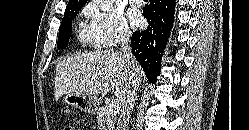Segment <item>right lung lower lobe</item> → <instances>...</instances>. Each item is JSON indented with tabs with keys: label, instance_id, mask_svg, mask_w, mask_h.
<instances>
[{
	"label": "right lung lower lobe",
	"instance_id": "obj_1",
	"mask_svg": "<svg viewBox=\"0 0 249 130\" xmlns=\"http://www.w3.org/2000/svg\"><path fill=\"white\" fill-rule=\"evenodd\" d=\"M174 7L175 0H150L143 8L149 26L145 31L132 34V53L152 83L160 73L162 53L173 25Z\"/></svg>",
	"mask_w": 249,
	"mask_h": 130
}]
</instances>
